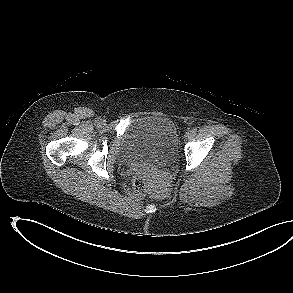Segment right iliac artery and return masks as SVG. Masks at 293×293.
<instances>
[{
  "label": "right iliac artery",
  "mask_w": 293,
  "mask_h": 293,
  "mask_svg": "<svg viewBox=\"0 0 293 293\" xmlns=\"http://www.w3.org/2000/svg\"><path fill=\"white\" fill-rule=\"evenodd\" d=\"M101 119L100 118H97L96 122H99Z\"/></svg>",
  "instance_id": "82829eb1"
}]
</instances>
